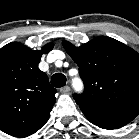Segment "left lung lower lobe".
Here are the masks:
<instances>
[{
    "instance_id": "left-lung-lower-lobe-1",
    "label": "left lung lower lobe",
    "mask_w": 139,
    "mask_h": 139,
    "mask_svg": "<svg viewBox=\"0 0 139 139\" xmlns=\"http://www.w3.org/2000/svg\"><path fill=\"white\" fill-rule=\"evenodd\" d=\"M87 119L103 129H117L132 121L139 113V109L123 111L99 112L81 109Z\"/></svg>"
}]
</instances>
